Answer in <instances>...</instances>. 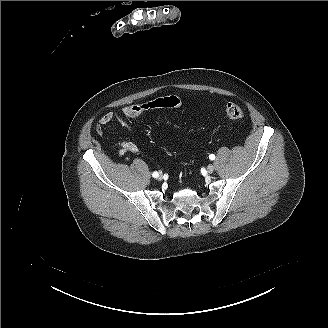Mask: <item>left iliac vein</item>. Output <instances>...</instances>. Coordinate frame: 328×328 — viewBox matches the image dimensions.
Masks as SVG:
<instances>
[{
	"instance_id": "1",
	"label": "left iliac vein",
	"mask_w": 328,
	"mask_h": 328,
	"mask_svg": "<svg viewBox=\"0 0 328 328\" xmlns=\"http://www.w3.org/2000/svg\"><path fill=\"white\" fill-rule=\"evenodd\" d=\"M214 170H215V167H214L213 165H208V166H207V172H208V173H213Z\"/></svg>"
}]
</instances>
